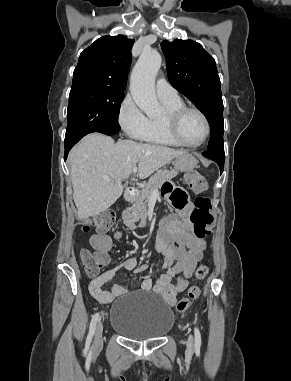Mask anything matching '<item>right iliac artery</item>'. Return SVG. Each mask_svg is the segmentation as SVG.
Masks as SVG:
<instances>
[{"instance_id":"right-iliac-artery-1","label":"right iliac artery","mask_w":291,"mask_h":381,"mask_svg":"<svg viewBox=\"0 0 291 381\" xmlns=\"http://www.w3.org/2000/svg\"><path fill=\"white\" fill-rule=\"evenodd\" d=\"M98 319H99V313L94 314L92 317V320L90 322V328H89V334L87 336L86 346H88L90 344V342L94 336L95 328H96V324H97Z\"/></svg>"}]
</instances>
